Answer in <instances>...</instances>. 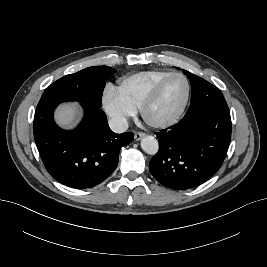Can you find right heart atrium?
Listing matches in <instances>:
<instances>
[{"instance_id": "obj_1", "label": "right heart atrium", "mask_w": 267, "mask_h": 267, "mask_svg": "<svg viewBox=\"0 0 267 267\" xmlns=\"http://www.w3.org/2000/svg\"><path fill=\"white\" fill-rule=\"evenodd\" d=\"M102 105L105 112L118 127H124L129 118L135 115V110L127 105L113 87H106L102 95Z\"/></svg>"}]
</instances>
